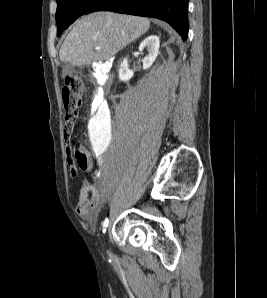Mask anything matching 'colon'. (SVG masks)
<instances>
[{"mask_svg": "<svg viewBox=\"0 0 267 298\" xmlns=\"http://www.w3.org/2000/svg\"><path fill=\"white\" fill-rule=\"evenodd\" d=\"M83 82L77 75L67 76L62 89V98L65 109L64 135L69 138L72 127L77 119L78 111L82 103ZM67 162L73 177L77 176L78 168L88 171L91 163L87 153L81 149H73L67 146Z\"/></svg>", "mask_w": 267, "mask_h": 298, "instance_id": "colon-1", "label": "colon"}]
</instances>
